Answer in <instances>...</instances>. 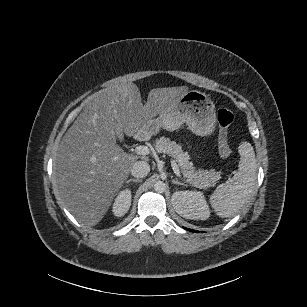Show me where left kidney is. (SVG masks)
Returning a JSON list of instances; mask_svg holds the SVG:
<instances>
[{
	"instance_id": "left-kidney-1",
	"label": "left kidney",
	"mask_w": 307,
	"mask_h": 307,
	"mask_svg": "<svg viewBox=\"0 0 307 307\" xmlns=\"http://www.w3.org/2000/svg\"><path fill=\"white\" fill-rule=\"evenodd\" d=\"M171 201L176 213L186 219L206 220L210 216V210L202 192L176 191Z\"/></svg>"
}]
</instances>
